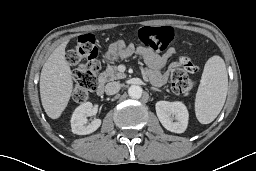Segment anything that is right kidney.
Returning <instances> with one entry per match:
<instances>
[{
    "mask_svg": "<svg viewBox=\"0 0 256 171\" xmlns=\"http://www.w3.org/2000/svg\"><path fill=\"white\" fill-rule=\"evenodd\" d=\"M93 105L91 102L82 103L78 106L71 117V129L74 134L86 135L96 131L100 125L101 120L95 118L91 123L87 124L88 120L85 114H89L92 111Z\"/></svg>",
    "mask_w": 256,
    "mask_h": 171,
    "instance_id": "1",
    "label": "right kidney"
}]
</instances>
